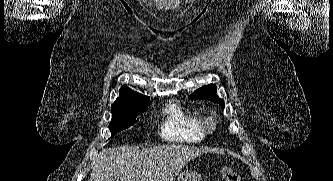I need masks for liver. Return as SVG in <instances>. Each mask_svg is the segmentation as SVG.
<instances>
[{
	"label": "liver",
	"instance_id": "liver-1",
	"mask_svg": "<svg viewBox=\"0 0 333 181\" xmlns=\"http://www.w3.org/2000/svg\"><path fill=\"white\" fill-rule=\"evenodd\" d=\"M206 149L187 145H161L103 149L93 163L89 181H174L191 160Z\"/></svg>",
	"mask_w": 333,
	"mask_h": 181
}]
</instances>
